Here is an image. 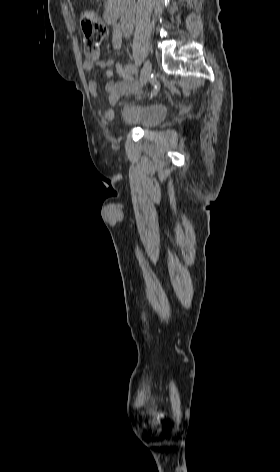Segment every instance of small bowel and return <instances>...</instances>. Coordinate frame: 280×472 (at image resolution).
<instances>
[{
	"label": "small bowel",
	"instance_id": "obj_1",
	"mask_svg": "<svg viewBox=\"0 0 280 472\" xmlns=\"http://www.w3.org/2000/svg\"><path fill=\"white\" fill-rule=\"evenodd\" d=\"M96 66L104 69L106 77L109 79L112 78L114 69L122 77V81H108L105 84V91L107 93L110 105H115L121 95L132 91L135 88V83L132 76L125 72V69L122 65L115 63L112 59L103 60L96 55L95 57L87 59L83 63V69L86 72H91ZM88 89L93 98L98 97V84L95 80H91L89 82ZM102 115L105 120H110L113 117V111L111 109H106L103 111Z\"/></svg>",
	"mask_w": 280,
	"mask_h": 472
}]
</instances>
